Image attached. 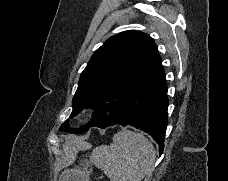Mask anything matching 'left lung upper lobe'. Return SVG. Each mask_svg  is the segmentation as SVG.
Masks as SVG:
<instances>
[{
  "instance_id": "obj_1",
  "label": "left lung upper lobe",
  "mask_w": 228,
  "mask_h": 181,
  "mask_svg": "<svg viewBox=\"0 0 228 181\" xmlns=\"http://www.w3.org/2000/svg\"><path fill=\"white\" fill-rule=\"evenodd\" d=\"M160 59L154 40L143 32L125 31L110 37L83 70L72 101L70 118L85 107L95 109L93 118L79 129L69 128L67 120L60 130L78 134L115 124L139 81Z\"/></svg>"
}]
</instances>
